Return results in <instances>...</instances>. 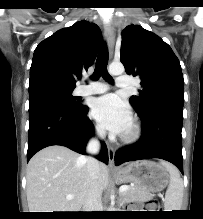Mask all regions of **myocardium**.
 I'll use <instances>...</instances> for the list:
<instances>
[{
  "label": "myocardium",
  "instance_id": "obj_1",
  "mask_svg": "<svg viewBox=\"0 0 203 219\" xmlns=\"http://www.w3.org/2000/svg\"><path fill=\"white\" fill-rule=\"evenodd\" d=\"M141 137V127L137 122H132L129 128L120 136L125 144H134Z\"/></svg>",
  "mask_w": 203,
  "mask_h": 219
}]
</instances>
